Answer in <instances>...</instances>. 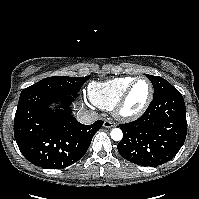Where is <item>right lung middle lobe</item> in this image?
I'll use <instances>...</instances> for the list:
<instances>
[{
	"mask_svg": "<svg viewBox=\"0 0 199 199\" xmlns=\"http://www.w3.org/2000/svg\"><path fill=\"white\" fill-rule=\"evenodd\" d=\"M90 76L85 77H64L54 76L44 78L43 80L33 84L32 86L25 88L21 94L28 92H43L51 94H65L78 96V92L83 83H85Z\"/></svg>",
	"mask_w": 199,
	"mask_h": 199,
	"instance_id": "1",
	"label": "right lung middle lobe"
}]
</instances>
